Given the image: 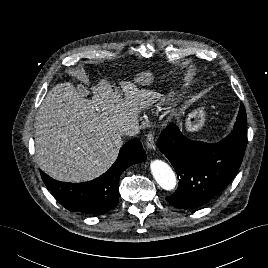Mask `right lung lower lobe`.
Segmentation results:
<instances>
[{"label":"right lung lower lobe","mask_w":268,"mask_h":268,"mask_svg":"<svg viewBox=\"0 0 268 268\" xmlns=\"http://www.w3.org/2000/svg\"><path fill=\"white\" fill-rule=\"evenodd\" d=\"M146 160L138 138L120 149L115 163L100 177L83 183H65L52 179L41 171V177L56 200L71 212L105 214L119 201V179L125 169Z\"/></svg>","instance_id":"right-lung-lower-lobe-1"}]
</instances>
